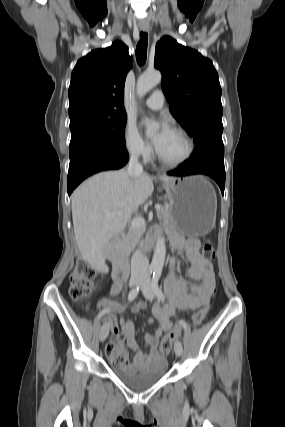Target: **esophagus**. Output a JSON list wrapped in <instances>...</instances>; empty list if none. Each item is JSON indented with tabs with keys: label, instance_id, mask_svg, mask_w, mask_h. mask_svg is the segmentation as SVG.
<instances>
[{
	"label": "esophagus",
	"instance_id": "34e87169",
	"mask_svg": "<svg viewBox=\"0 0 285 427\" xmlns=\"http://www.w3.org/2000/svg\"><path fill=\"white\" fill-rule=\"evenodd\" d=\"M142 31L147 32V29H142Z\"/></svg>",
	"mask_w": 285,
	"mask_h": 427
}]
</instances>
